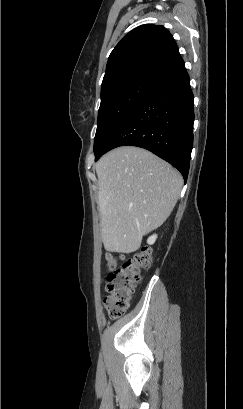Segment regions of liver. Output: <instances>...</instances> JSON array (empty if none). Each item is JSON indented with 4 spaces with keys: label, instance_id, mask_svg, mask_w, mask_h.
<instances>
[{
    "label": "liver",
    "instance_id": "6515ba94",
    "mask_svg": "<svg viewBox=\"0 0 243 409\" xmlns=\"http://www.w3.org/2000/svg\"><path fill=\"white\" fill-rule=\"evenodd\" d=\"M101 238L109 252L137 251L178 200L183 178L169 163L133 146L116 148L96 164Z\"/></svg>",
    "mask_w": 243,
    "mask_h": 409
}]
</instances>
